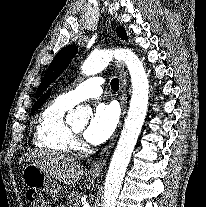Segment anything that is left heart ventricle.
<instances>
[{"instance_id": "1", "label": "left heart ventricle", "mask_w": 206, "mask_h": 207, "mask_svg": "<svg viewBox=\"0 0 206 207\" xmlns=\"http://www.w3.org/2000/svg\"><path fill=\"white\" fill-rule=\"evenodd\" d=\"M74 130L77 132H81L83 130V128H74Z\"/></svg>"}]
</instances>
